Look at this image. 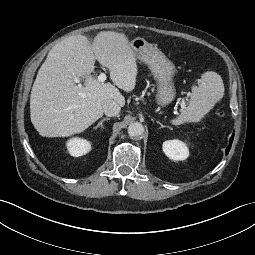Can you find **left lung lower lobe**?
<instances>
[{
	"label": "left lung lower lobe",
	"mask_w": 255,
	"mask_h": 255,
	"mask_svg": "<svg viewBox=\"0 0 255 255\" xmlns=\"http://www.w3.org/2000/svg\"><path fill=\"white\" fill-rule=\"evenodd\" d=\"M233 138H234V133H233L232 137L230 138V144H229V146H228L227 149H226V154H228V152H229V150H230V148H231Z\"/></svg>",
	"instance_id": "left-lung-lower-lobe-1"
}]
</instances>
